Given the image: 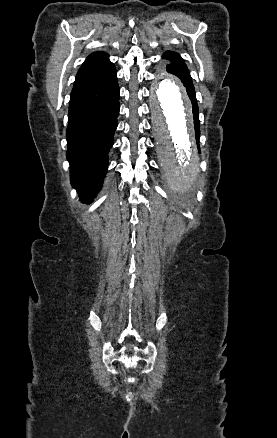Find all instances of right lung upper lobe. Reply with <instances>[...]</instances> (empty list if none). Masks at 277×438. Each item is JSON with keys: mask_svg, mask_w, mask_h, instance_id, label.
I'll use <instances>...</instances> for the list:
<instances>
[{"mask_svg": "<svg viewBox=\"0 0 277 438\" xmlns=\"http://www.w3.org/2000/svg\"><path fill=\"white\" fill-rule=\"evenodd\" d=\"M108 55L104 52H96L89 55L79 69L74 85L106 75L114 70Z\"/></svg>", "mask_w": 277, "mask_h": 438, "instance_id": "right-lung-upper-lobe-1", "label": "right lung upper lobe"}]
</instances>
